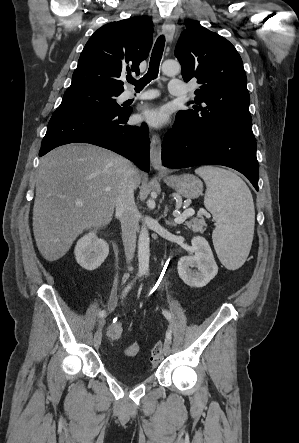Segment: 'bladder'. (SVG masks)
Listing matches in <instances>:
<instances>
[{
    "label": "bladder",
    "mask_w": 299,
    "mask_h": 443,
    "mask_svg": "<svg viewBox=\"0 0 299 443\" xmlns=\"http://www.w3.org/2000/svg\"><path fill=\"white\" fill-rule=\"evenodd\" d=\"M110 372L119 380L126 384H137L145 381L149 377V373L139 368L130 370H121L114 366H110Z\"/></svg>",
    "instance_id": "bladder-1"
}]
</instances>
